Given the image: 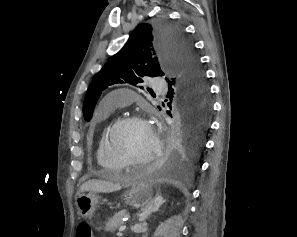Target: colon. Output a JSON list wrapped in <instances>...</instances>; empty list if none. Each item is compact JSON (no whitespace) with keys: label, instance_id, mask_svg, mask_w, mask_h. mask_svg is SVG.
<instances>
[{"label":"colon","instance_id":"obj_1","mask_svg":"<svg viewBox=\"0 0 297 237\" xmlns=\"http://www.w3.org/2000/svg\"><path fill=\"white\" fill-rule=\"evenodd\" d=\"M76 237H93L90 226L87 223H80L76 228Z\"/></svg>","mask_w":297,"mask_h":237}]
</instances>
